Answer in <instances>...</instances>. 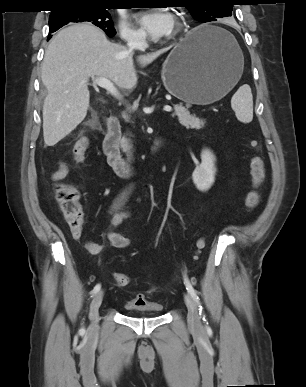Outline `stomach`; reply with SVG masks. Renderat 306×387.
<instances>
[{
	"mask_svg": "<svg viewBox=\"0 0 306 387\" xmlns=\"http://www.w3.org/2000/svg\"><path fill=\"white\" fill-rule=\"evenodd\" d=\"M243 68V53L234 37L220 27L201 25L172 49L161 77L178 99L189 105H207L236 85Z\"/></svg>",
	"mask_w": 306,
	"mask_h": 387,
	"instance_id": "obj_1",
	"label": "stomach"
}]
</instances>
